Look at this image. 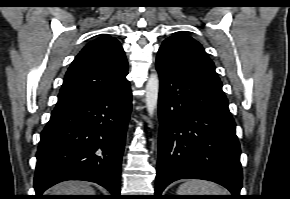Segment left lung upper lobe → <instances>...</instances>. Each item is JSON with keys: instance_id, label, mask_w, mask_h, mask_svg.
Segmentation results:
<instances>
[{"instance_id": "obj_1", "label": "left lung upper lobe", "mask_w": 290, "mask_h": 199, "mask_svg": "<svg viewBox=\"0 0 290 199\" xmlns=\"http://www.w3.org/2000/svg\"><path fill=\"white\" fill-rule=\"evenodd\" d=\"M173 63L195 75L222 84L212 60L202 45L192 37L177 33L167 38L159 49Z\"/></svg>"}]
</instances>
